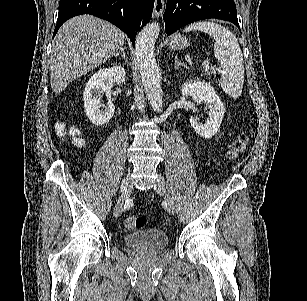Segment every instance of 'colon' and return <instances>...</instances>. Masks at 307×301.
Listing matches in <instances>:
<instances>
[{
    "mask_svg": "<svg viewBox=\"0 0 307 301\" xmlns=\"http://www.w3.org/2000/svg\"><path fill=\"white\" fill-rule=\"evenodd\" d=\"M57 133L60 136H66L69 135L73 142L76 145H81L83 143V140L81 139L79 132L77 129L74 128H66L63 124H57L56 126ZM248 144V137L246 135L239 136L234 143L232 144L231 149L229 150L227 157L229 159H235L237 156H239L244 150L246 149ZM147 224V219L144 216L140 215H129L125 219V227L128 230L135 231L142 229Z\"/></svg>",
    "mask_w": 307,
    "mask_h": 301,
    "instance_id": "1",
    "label": "colon"
}]
</instances>
